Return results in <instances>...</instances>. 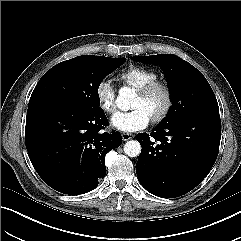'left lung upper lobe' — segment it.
Returning <instances> with one entry per match:
<instances>
[{
    "label": "left lung upper lobe",
    "instance_id": "left-lung-upper-lobe-1",
    "mask_svg": "<svg viewBox=\"0 0 241 241\" xmlns=\"http://www.w3.org/2000/svg\"><path fill=\"white\" fill-rule=\"evenodd\" d=\"M142 63L161 65L170 89L172 106L159 125L194 115L219 117L214 92L206 78L188 62L172 54L132 57Z\"/></svg>",
    "mask_w": 241,
    "mask_h": 241
}]
</instances>
